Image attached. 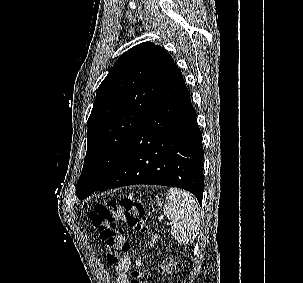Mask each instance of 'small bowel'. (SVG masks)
<instances>
[{
	"label": "small bowel",
	"instance_id": "small-bowel-1",
	"mask_svg": "<svg viewBox=\"0 0 303 283\" xmlns=\"http://www.w3.org/2000/svg\"><path fill=\"white\" fill-rule=\"evenodd\" d=\"M131 266V257L124 256L116 266V283H129L128 270Z\"/></svg>",
	"mask_w": 303,
	"mask_h": 283
}]
</instances>
